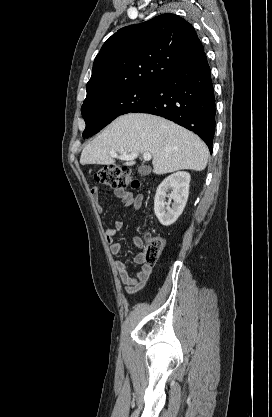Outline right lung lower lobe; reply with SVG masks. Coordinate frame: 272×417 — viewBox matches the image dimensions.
<instances>
[{"label": "right lung lower lobe", "instance_id": "1", "mask_svg": "<svg viewBox=\"0 0 272 417\" xmlns=\"http://www.w3.org/2000/svg\"><path fill=\"white\" fill-rule=\"evenodd\" d=\"M205 52L165 77L153 95L133 113H149L196 133L212 152L215 97Z\"/></svg>", "mask_w": 272, "mask_h": 417}]
</instances>
